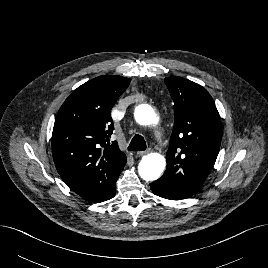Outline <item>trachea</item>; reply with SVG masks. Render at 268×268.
<instances>
[{"instance_id":"trachea-1","label":"trachea","mask_w":268,"mask_h":268,"mask_svg":"<svg viewBox=\"0 0 268 268\" xmlns=\"http://www.w3.org/2000/svg\"><path fill=\"white\" fill-rule=\"evenodd\" d=\"M145 149H146V142L144 138L141 135L136 134L132 138L128 146V150L129 151H144Z\"/></svg>"}]
</instances>
